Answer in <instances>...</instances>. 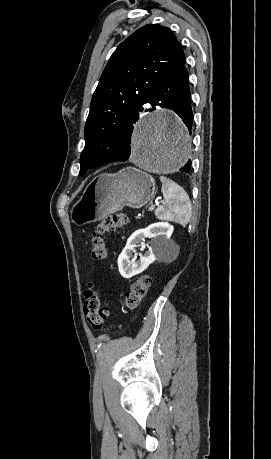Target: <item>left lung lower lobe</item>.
<instances>
[{
  "mask_svg": "<svg viewBox=\"0 0 271 459\" xmlns=\"http://www.w3.org/2000/svg\"><path fill=\"white\" fill-rule=\"evenodd\" d=\"M146 103H150L153 107L150 110H155V106L162 108H169L175 111L179 117L184 121L185 125L191 133L193 113L191 110V93L189 89V73L184 65L178 69L174 74L168 77L165 81L159 84L148 96ZM133 130V125L128 128L123 136L126 148L123 153L117 157L115 161H126L129 159L130 139ZM191 161H188L184 167L180 169L183 172H189Z\"/></svg>",
  "mask_w": 271,
  "mask_h": 459,
  "instance_id": "1",
  "label": "left lung lower lobe"
}]
</instances>
